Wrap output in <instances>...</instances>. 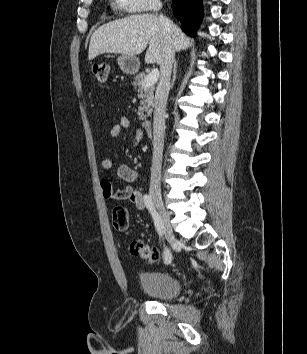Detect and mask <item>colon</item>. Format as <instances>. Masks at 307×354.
<instances>
[{
	"instance_id": "obj_1",
	"label": "colon",
	"mask_w": 307,
	"mask_h": 354,
	"mask_svg": "<svg viewBox=\"0 0 307 354\" xmlns=\"http://www.w3.org/2000/svg\"><path fill=\"white\" fill-rule=\"evenodd\" d=\"M93 74L99 84H104L108 79L109 65L106 63L94 64ZM112 221L115 229L121 232L125 231L129 224L128 210L122 206L115 207L112 213ZM130 251L133 255L149 262H156L159 259L158 250L142 241H133L130 245Z\"/></svg>"
}]
</instances>
